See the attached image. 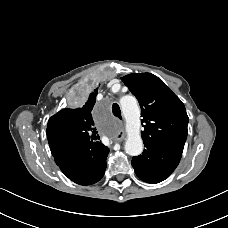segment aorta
I'll use <instances>...</instances> for the list:
<instances>
[{
	"label": "aorta",
	"mask_w": 228,
	"mask_h": 228,
	"mask_svg": "<svg viewBox=\"0 0 228 228\" xmlns=\"http://www.w3.org/2000/svg\"><path fill=\"white\" fill-rule=\"evenodd\" d=\"M120 107L126 120L125 151L130 156H138L143 152V141L140 134V108L133 96L122 97Z\"/></svg>",
	"instance_id": "obj_1"
}]
</instances>
